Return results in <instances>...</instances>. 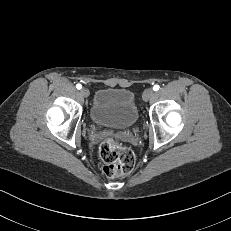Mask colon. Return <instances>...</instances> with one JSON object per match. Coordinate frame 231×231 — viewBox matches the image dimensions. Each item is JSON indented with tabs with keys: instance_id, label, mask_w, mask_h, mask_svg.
<instances>
[{
	"instance_id": "colon-1",
	"label": "colon",
	"mask_w": 231,
	"mask_h": 231,
	"mask_svg": "<svg viewBox=\"0 0 231 231\" xmlns=\"http://www.w3.org/2000/svg\"><path fill=\"white\" fill-rule=\"evenodd\" d=\"M100 158L104 165L102 171L108 178L130 173L135 165L133 152L120 146L114 139L104 140L99 147Z\"/></svg>"
}]
</instances>
